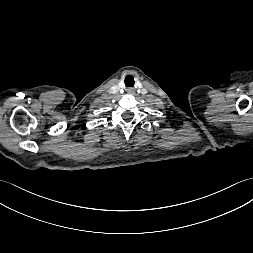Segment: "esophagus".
Wrapping results in <instances>:
<instances>
[{
  "instance_id": "34e87169",
  "label": "esophagus",
  "mask_w": 253,
  "mask_h": 253,
  "mask_svg": "<svg viewBox=\"0 0 253 253\" xmlns=\"http://www.w3.org/2000/svg\"><path fill=\"white\" fill-rule=\"evenodd\" d=\"M133 92H134V89H133V88H128V89H127V93H128V94H132Z\"/></svg>"
}]
</instances>
